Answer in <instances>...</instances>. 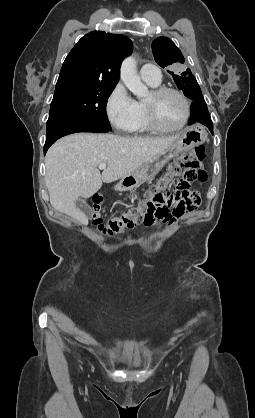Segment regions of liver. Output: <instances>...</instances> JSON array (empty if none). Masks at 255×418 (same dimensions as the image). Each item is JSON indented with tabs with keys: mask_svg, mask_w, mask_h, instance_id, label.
<instances>
[{
	"mask_svg": "<svg viewBox=\"0 0 255 418\" xmlns=\"http://www.w3.org/2000/svg\"><path fill=\"white\" fill-rule=\"evenodd\" d=\"M179 136L145 138L76 133L59 139L45 158V182L52 207L86 224L85 214L75 204L79 198L91 197L103 182L131 175L168 149ZM102 163L107 167L101 174L97 167Z\"/></svg>",
	"mask_w": 255,
	"mask_h": 418,
	"instance_id": "obj_1",
	"label": "liver"
}]
</instances>
